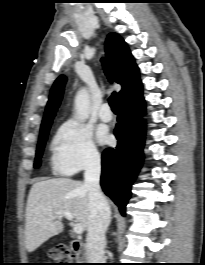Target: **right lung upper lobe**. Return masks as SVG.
Instances as JSON below:
<instances>
[{"label": "right lung upper lobe", "mask_w": 205, "mask_h": 265, "mask_svg": "<svg viewBox=\"0 0 205 265\" xmlns=\"http://www.w3.org/2000/svg\"><path fill=\"white\" fill-rule=\"evenodd\" d=\"M106 55L115 81L122 86L118 93L119 107L127 106L142 97L139 69L135 64L127 44L116 33H110L105 43ZM66 78L61 75L54 82L46 106L41 130L51 125L62 99Z\"/></svg>", "instance_id": "cb5924a9"}]
</instances>
